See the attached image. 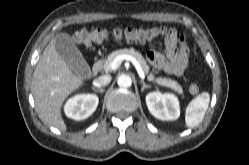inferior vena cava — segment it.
<instances>
[{
    "label": "inferior vena cava",
    "instance_id": "1",
    "mask_svg": "<svg viewBox=\"0 0 249 165\" xmlns=\"http://www.w3.org/2000/svg\"><path fill=\"white\" fill-rule=\"evenodd\" d=\"M111 75H102L93 81V85L97 88L107 86L111 82Z\"/></svg>",
    "mask_w": 249,
    "mask_h": 165
}]
</instances>
